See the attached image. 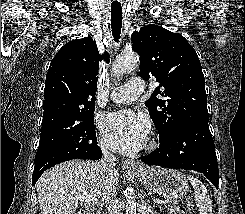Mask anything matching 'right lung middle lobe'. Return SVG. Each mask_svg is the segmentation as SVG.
<instances>
[{"mask_svg":"<svg viewBox=\"0 0 245 214\" xmlns=\"http://www.w3.org/2000/svg\"><path fill=\"white\" fill-rule=\"evenodd\" d=\"M93 112L75 122L41 132L34 170L49 169L72 159H87V152L97 144Z\"/></svg>","mask_w":245,"mask_h":214,"instance_id":"1","label":"right lung middle lobe"}]
</instances>
